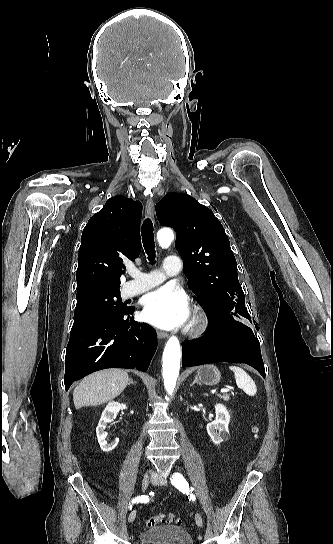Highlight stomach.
Instances as JSON below:
<instances>
[{
    "label": "stomach",
    "instance_id": "obj_1",
    "mask_svg": "<svg viewBox=\"0 0 333 544\" xmlns=\"http://www.w3.org/2000/svg\"><path fill=\"white\" fill-rule=\"evenodd\" d=\"M196 377L201 383L213 386L220 382L221 373L213 364H206L199 367Z\"/></svg>",
    "mask_w": 333,
    "mask_h": 544
}]
</instances>
